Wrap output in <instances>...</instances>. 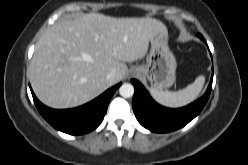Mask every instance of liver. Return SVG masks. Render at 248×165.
Wrapping results in <instances>:
<instances>
[{
	"label": "liver",
	"mask_w": 248,
	"mask_h": 165,
	"mask_svg": "<svg viewBox=\"0 0 248 165\" xmlns=\"http://www.w3.org/2000/svg\"><path fill=\"white\" fill-rule=\"evenodd\" d=\"M167 32L153 18H114L98 13L62 19L36 44L30 64L31 86L37 98L56 109L83 105L121 81L125 62L143 58L151 38ZM116 72L114 82L107 80Z\"/></svg>",
	"instance_id": "liver-1"
}]
</instances>
